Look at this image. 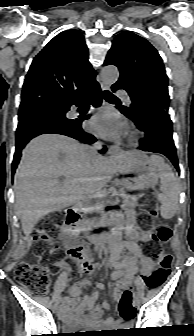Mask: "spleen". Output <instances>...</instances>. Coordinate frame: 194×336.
<instances>
[{
	"label": "spleen",
	"instance_id": "spleen-1",
	"mask_svg": "<svg viewBox=\"0 0 194 336\" xmlns=\"http://www.w3.org/2000/svg\"><path fill=\"white\" fill-rule=\"evenodd\" d=\"M152 163L157 167L161 180V216L164 219H171L177 210L179 199V182L172 172L170 166L158 155L151 156Z\"/></svg>",
	"mask_w": 194,
	"mask_h": 336
}]
</instances>
